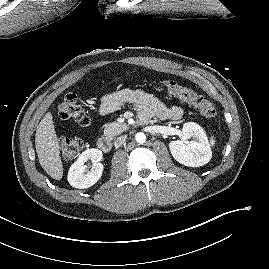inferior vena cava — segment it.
<instances>
[{"mask_svg": "<svg viewBox=\"0 0 269 269\" xmlns=\"http://www.w3.org/2000/svg\"><path fill=\"white\" fill-rule=\"evenodd\" d=\"M126 138V135L118 137L114 142L115 147H119L120 145H122L126 141Z\"/></svg>", "mask_w": 269, "mask_h": 269, "instance_id": "obj_1", "label": "inferior vena cava"}]
</instances>
